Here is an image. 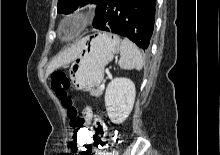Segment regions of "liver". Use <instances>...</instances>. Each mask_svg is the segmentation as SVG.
<instances>
[{
    "mask_svg": "<svg viewBox=\"0 0 220 155\" xmlns=\"http://www.w3.org/2000/svg\"><path fill=\"white\" fill-rule=\"evenodd\" d=\"M83 45H84V40H82L77 45H75L71 48H68L67 50L63 51L58 56H56L49 63V65L47 67L46 77H48L52 72H54V70L74 61L77 58V56L80 54V52L83 48Z\"/></svg>",
    "mask_w": 220,
    "mask_h": 155,
    "instance_id": "6515ba94",
    "label": "liver"
}]
</instances>
